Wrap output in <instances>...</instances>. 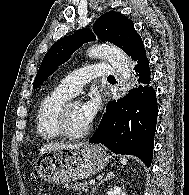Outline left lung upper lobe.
<instances>
[{
	"mask_svg": "<svg viewBox=\"0 0 189 195\" xmlns=\"http://www.w3.org/2000/svg\"><path fill=\"white\" fill-rule=\"evenodd\" d=\"M93 30L100 40L120 47L135 63L146 57L142 39L135 30L133 22L126 16L117 12H107L96 20ZM94 33L89 28H84L56 42L44 56L33 88H38L83 43L94 40Z\"/></svg>",
	"mask_w": 189,
	"mask_h": 195,
	"instance_id": "obj_1",
	"label": "left lung upper lobe"
}]
</instances>
